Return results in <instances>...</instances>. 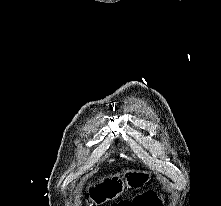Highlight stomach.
Masks as SVG:
<instances>
[{
    "label": "stomach",
    "instance_id": "0dacf381",
    "mask_svg": "<svg viewBox=\"0 0 221 206\" xmlns=\"http://www.w3.org/2000/svg\"><path fill=\"white\" fill-rule=\"evenodd\" d=\"M151 179V173L145 170L127 169L103 178L98 186H94L90 194V206H101L103 203L119 197L125 187L139 189Z\"/></svg>",
    "mask_w": 221,
    "mask_h": 206
}]
</instances>
